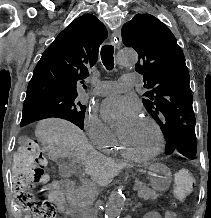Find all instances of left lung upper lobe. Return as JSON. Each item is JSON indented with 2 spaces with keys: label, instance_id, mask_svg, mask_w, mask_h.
Wrapping results in <instances>:
<instances>
[{
  "label": "left lung upper lobe",
  "instance_id": "1",
  "mask_svg": "<svg viewBox=\"0 0 211 218\" xmlns=\"http://www.w3.org/2000/svg\"><path fill=\"white\" fill-rule=\"evenodd\" d=\"M122 39L139 55L135 70L147 90L142 102L164 134L165 153L193 159L197 144L190 77L175 36L156 17L137 14L123 25Z\"/></svg>",
  "mask_w": 211,
  "mask_h": 218
}]
</instances>
